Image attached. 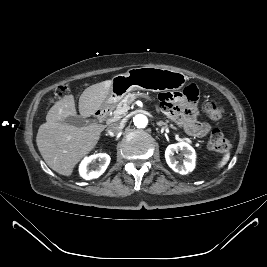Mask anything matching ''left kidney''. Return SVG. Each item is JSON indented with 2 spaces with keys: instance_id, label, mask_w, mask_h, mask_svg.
Here are the masks:
<instances>
[{
  "instance_id": "left-kidney-1",
  "label": "left kidney",
  "mask_w": 267,
  "mask_h": 267,
  "mask_svg": "<svg viewBox=\"0 0 267 267\" xmlns=\"http://www.w3.org/2000/svg\"><path fill=\"white\" fill-rule=\"evenodd\" d=\"M178 151H181L184 156L183 164H180L174 155ZM165 159L174 172L185 175L194 170L196 154L195 150L188 143L179 142L168 145L165 151Z\"/></svg>"
}]
</instances>
